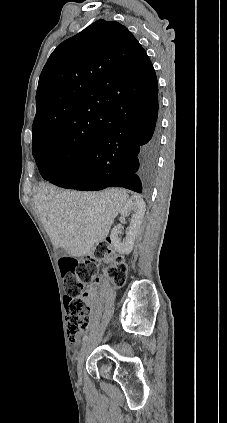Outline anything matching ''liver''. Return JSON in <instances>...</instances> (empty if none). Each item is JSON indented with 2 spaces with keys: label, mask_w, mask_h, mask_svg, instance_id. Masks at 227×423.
Returning <instances> with one entry per match:
<instances>
[{
  "label": "liver",
  "mask_w": 227,
  "mask_h": 423,
  "mask_svg": "<svg viewBox=\"0 0 227 423\" xmlns=\"http://www.w3.org/2000/svg\"><path fill=\"white\" fill-rule=\"evenodd\" d=\"M34 200L53 247H63L73 257H84L107 237L128 194L118 188L64 192L44 184L38 188Z\"/></svg>",
  "instance_id": "1"
}]
</instances>
